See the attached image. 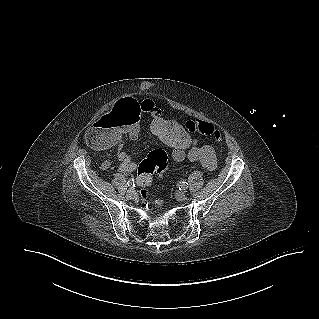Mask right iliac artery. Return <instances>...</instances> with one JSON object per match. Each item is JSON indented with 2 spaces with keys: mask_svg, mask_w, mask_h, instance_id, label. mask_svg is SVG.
<instances>
[{
  "mask_svg": "<svg viewBox=\"0 0 319 319\" xmlns=\"http://www.w3.org/2000/svg\"><path fill=\"white\" fill-rule=\"evenodd\" d=\"M127 185L130 186V187H134L135 184H134V179H129L128 182H127Z\"/></svg>",
  "mask_w": 319,
  "mask_h": 319,
  "instance_id": "obj_1",
  "label": "right iliac artery"
}]
</instances>
